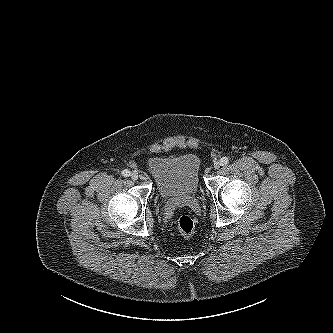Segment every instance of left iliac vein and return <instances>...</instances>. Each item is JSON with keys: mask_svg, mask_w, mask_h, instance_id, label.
<instances>
[{"mask_svg": "<svg viewBox=\"0 0 333 333\" xmlns=\"http://www.w3.org/2000/svg\"><path fill=\"white\" fill-rule=\"evenodd\" d=\"M220 166H221V162H220V161H217V162H215V164H214V169L217 170V169L220 168Z\"/></svg>", "mask_w": 333, "mask_h": 333, "instance_id": "1", "label": "left iliac vein"}]
</instances>
